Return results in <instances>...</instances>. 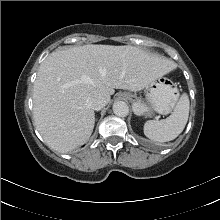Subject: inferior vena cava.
Listing matches in <instances>:
<instances>
[{"instance_id":"inferior-vena-cava-1","label":"inferior vena cava","mask_w":220,"mask_h":220,"mask_svg":"<svg viewBox=\"0 0 220 220\" xmlns=\"http://www.w3.org/2000/svg\"><path fill=\"white\" fill-rule=\"evenodd\" d=\"M87 103L91 109L100 110L107 104V101L104 95L95 93L88 98Z\"/></svg>"}]
</instances>
